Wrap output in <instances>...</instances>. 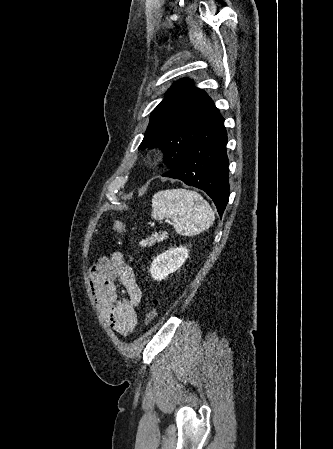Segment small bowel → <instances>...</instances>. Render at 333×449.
<instances>
[{"label": "small bowel", "instance_id": "small-bowel-1", "mask_svg": "<svg viewBox=\"0 0 333 449\" xmlns=\"http://www.w3.org/2000/svg\"><path fill=\"white\" fill-rule=\"evenodd\" d=\"M94 302L108 325L127 335L138 324L137 307L142 293L133 269L119 252L101 257L89 271ZM119 286L122 295H119Z\"/></svg>", "mask_w": 333, "mask_h": 449}]
</instances>
